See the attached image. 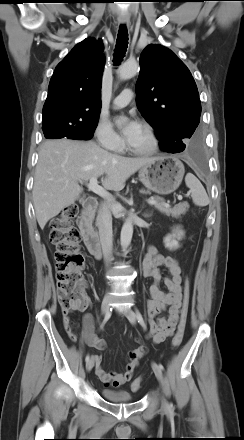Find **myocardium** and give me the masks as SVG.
<instances>
[{
  "label": "myocardium",
  "mask_w": 244,
  "mask_h": 440,
  "mask_svg": "<svg viewBox=\"0 0 244 440\" xmlns=\"http://www.w3.org/2000/svg\"><path fill=\"white\" fill-rule=\"evenodd\" d=\"M141 128L145 131L147 136L149 137L150 144L147 148L137 149L132 147L129 143H127V149L136 155H151L155 153L160 146V140L156 130L148 123H141Z\"/></svg>",
  "instance_id": "obj_1"
}]
</instances>
